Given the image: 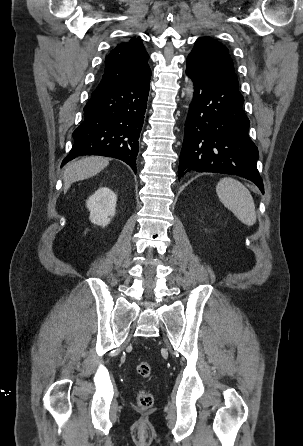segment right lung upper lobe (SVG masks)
<instances>
[{"mask_svg": "<svg viewBox=\"0 0 303 446\" xmlns=\"http://www.w3.org/2000/svg\"><path fill=\"white\" fill-rule=\"evenodd\" d=\"M148 58L140 37L119 44L106 56L104 74L92 94L146 78L151 74Z\"/></svg>", "mask_w": 303, "mask_h": 446, "instance_id": "cb5924a9", "label": "right lung upper lobe"}]
</instances>
